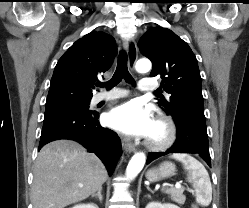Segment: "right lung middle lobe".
<instances>
[{
    "label": "right lung middle lobe",
    "mask_w": 249,
    "mask_h": 208,
    "mask_svg": "<svg viewBox=\"0 0 249 208\" xmlns=\"http://www.w3.org/2000/svg\"><path fill=\"white\" fill-rule=\"evenodd\" d=\"M89 103L90 100L88 101H82V102H75V103H70V104H65L64 106H74V107H79L88 110L89 108Z\"/></svg>",
    "instance_id": "dd1d6c3e"
}]
</instances>
